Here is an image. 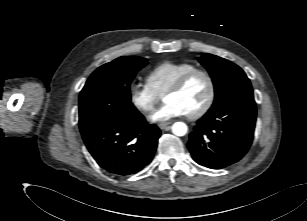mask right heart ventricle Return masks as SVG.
<instances>
[{
	"mask_svg": "<svg viewBox=\"0 0 307 221\" xmlns=\"http://www.w3.org/2000/svg\"><path fill=\"white\" fill-rule=\"evenodd\" d=\"M197 69V66L191 62H173L164 61L147 74V84L160 96L184 74Z\"/></svg>",
	"mask_w": 307,
	"mask_h": 221,
	"instance_id": "1",
	"label": "right heart ventricle"
}]
</instances>
